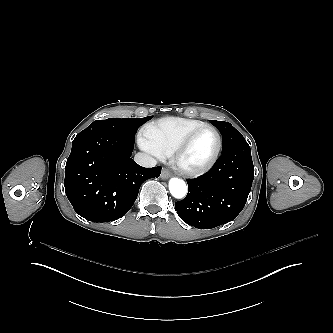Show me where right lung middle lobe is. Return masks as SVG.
<instances>
[{
	"label": "right lung middle lobe",
	"mask_w": 333,
	"mask_h": 333,
	"mask_svg": "<svg viewBox=\"0 0 333 333\" xmlns=\"http://www.w3.org/2000/svg\"><path fill=\"white\" fill-rule=\"evenodd\" d=\"M151 118L152 116L145 118H109L106 120H96L91 123L85 130L81 131V133L105 131L115 135L134 139L138 128Z\"/></svg>",
	"instance_id": "dd1d6c3e"
}]
</instances>
